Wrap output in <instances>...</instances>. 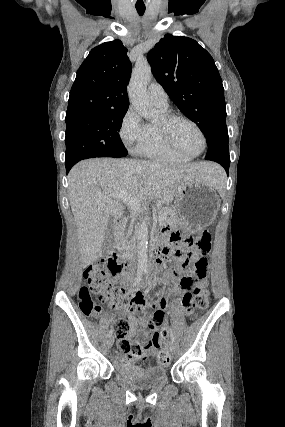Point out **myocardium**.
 Returning a JSON list of instances; mask_svg holds the SVG:
<instances>
[{"mask_svg": "<svg viewBox=\"0 0 285 427\" xmlns=\"http://www.w3.org/2000/svg\"><path fill=\"white\" fill-rule=\"evenodd\" d=\"M177 122H185L190 125H192L197 132L199 133L201 140H202V148L199 152L195 154H189L185 152L183 149L179 147L177 142L175 141L174 135H173V127ZM157 129L160 132L162 138L167 143V145L172 148L175 152L188 157V158H195L202 154L206 148L207 145V139L206 136L202 130V128L192 119L173 114V113H163L160 117V121L156 123Z\"/></svg>", "mask_w": 285, "mask_h": 427, "instance_id": "f54148a6", "label": "myocardium"}]
</instances>
